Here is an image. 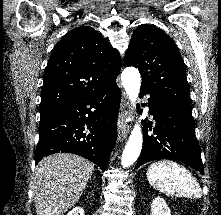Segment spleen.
Listing matches in <instances>:
<instances>
[{
	"instance_id": "3e777b00",
	"label": "spleen",
	"mask_w": 221,
	"mask_h": 215,
	"mask_svg": "<svg viewBox=\"0 0 221 215\" xmlns=\"http://www.w3.org/2000/svg\"><path fill=\"white\" fill-rule=\"evenodd\" d=\"M151 186L170 196L200 198L201 188L192 174L180 164L162 160L151 164L147 170Z\"/></svg>"
}]
</instances>
